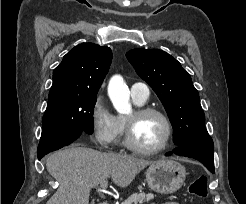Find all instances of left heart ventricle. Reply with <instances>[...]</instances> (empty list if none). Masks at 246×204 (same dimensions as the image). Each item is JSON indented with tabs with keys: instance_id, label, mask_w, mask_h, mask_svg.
Here are the masks:
<instances>
[{
	"instance_id": "1",
	"label": "left heart ventricle",
	"mask_w": 246,
	"mask_h": 204,
	"mask_svg": "<svg viewBox=\"0 0 246 204\" xmlns=\"http://www.w3.org/2000/svg\"><path fill=\"white\" fill-rule=\"evenodd\" d=\"M132 112L128 117H133ZM166 136V125L157 115H148L136 120L135 140L136 142L148 149L160 146Z\"/></svg>"
}]
</instances>
